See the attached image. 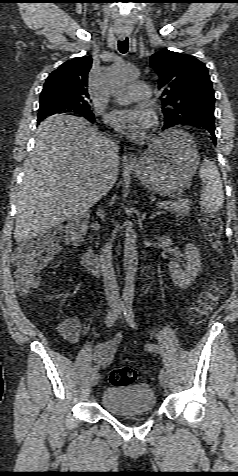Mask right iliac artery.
Segmentation results:
<instances>
[{
  "label": "right iliac artery",
  "mask_w": 238,
  "mask_h": 476,
  "mask_svg": "<svg viewBox=\"0 0 238 476\" xmlns=\"http://www.w3.org/2000/svg\"><path fill=\"white\" fill-rule=\"evenodd\" d=\"M123 310H124V305L120 304V305L117 306V308H115L114 310L110 311V312L107 314L106 319H105L106 325H107L108 327H111V326L115 323V321H116L118 315H119ZM98 369H99L98 366H93V367L91 368V372H92V373H95V372L98 371Z\"/></svg>",
  "instance_id": "right-iliac-artery-1"
}]
</instances>
